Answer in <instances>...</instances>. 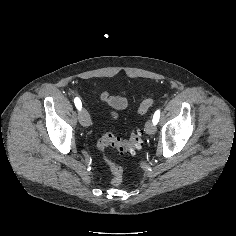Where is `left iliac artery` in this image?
Wrapping results in <instances>:
<instances>
[{
	"mask_svg": "<svg viewBox=\"0 0 236 236\" xmlns=\"http://www.w3.org/2000/svg\"><path fill=\"white\" fill-rule=\"evenodd\" d=\"M159 118H160V110H157L155 113H154V116H153V123L156 125L159 121Z\"/></svg>",
	"mask_w": 236,
	"mask_h": 236,
	"instance_id": "obj_1",
	"label": "left iliac artery"
}]
</instances>
